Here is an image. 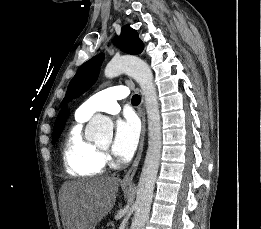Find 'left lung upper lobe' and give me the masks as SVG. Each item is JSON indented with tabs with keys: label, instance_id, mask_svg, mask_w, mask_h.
<instances>
[{
	"label": "left lung upper lobe",
	"instance_id": "obj_1",
	"mask_svg": "<svg viewBox=\"0 0 261 229\" xmlns=\"http://www.w3.org/2000/svg\"><path fill=\"white\" fill-rule=\"evenodd\" d=\"M114 42L123 52L129 54H139L144 48V44L139 39L138 33L129 25L122 27L120 37L116 36ZM102 61L103 55L100 54L85 62L78 69L69 83L66 95L60 106L79 97L95 83L99 75Z\"/></svg>",
	"mask_w": 261,
	"mask_h": 229
}]
</instances>
